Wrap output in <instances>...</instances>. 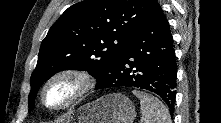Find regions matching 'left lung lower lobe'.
I'll return each mask as SVG.
<instances>
[{
    "label": "left lung lower lobe",
    "instance_id": "0a47b994",
    "mask_svg": "<svg viewBox=\"0 0 221 123\" xmlns=\"http://www.w3.org/2000/svg\"><path fill=\"white\" fill-rule=\"evenodd\" d=\"M176 75L173 37L158 5L131 37L115 64L97 79L96 89L140 87L159 95L173 114Z\"/></svg>",
    "mask_w": 221,
    "mask_h": 123
}]
</instances>
